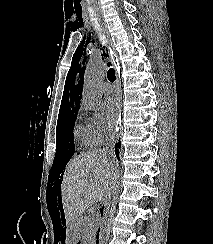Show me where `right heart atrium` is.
<instances>
[{"label": "right heart atrium", "mask_w": 213, "mask_h": 244, "mask_svg": "<svg viewBox=\"0 0 213 244\" xmlns=\"http://www.w3.org/2000/svg\"><path fill=\"white\" fill-rule=\"evenodd\" d=\"M84 128L87 133L90 145H98L104 141L108 134V129L98 112H87L84 114Z\"/></svg>", "instance_id": "1"}]
</instances>
